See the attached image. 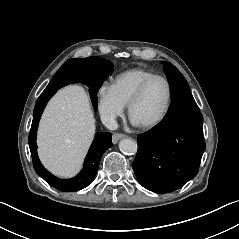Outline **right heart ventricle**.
Listing matches in <instances>:
<instances>
[{
  "label": "right heart ventricle",
  "instance_id": "obj_1",
  "mask_svg": "<svg viewBox=\"0 0 239 239\" xmlns=\"http://www.w3.org/2000/svg\"><path fill=\"white\" fill-rule=\"evenodd\" d=\"M155 73L143 67H135L122 71L114 76L111 81V88L117 99L127 106L132 95L138 87Z\"/></svg>",
  "mask_w": 239,
  "mask_h": 239
}]
</instances>
